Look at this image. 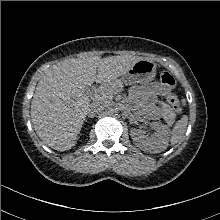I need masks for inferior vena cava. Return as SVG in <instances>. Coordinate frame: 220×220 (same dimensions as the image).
I'll return each instance as SVG.
<instances>
[{"label": "inferior vena cava", "mask_w": 220, "mask_h": 220, "mask_svg": "<svg viewBox=\"0 0 220 220\" xmlns=\"http://www.w3.org/2000/svg\"><path fill=\"white\" fill-rule=\"evenodd\" d=\"M104 110V105L101 103H95L92 104L90 109L88 110V116L89 117H94L98 113Z\"/></svg>", "instance_id": "obj_1"}]
</instances>
